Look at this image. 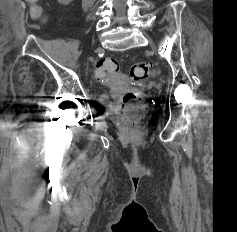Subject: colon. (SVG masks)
<instances>
[{"mask_svg": "<svg viewBox=\"0 0 237 232\" xmlns=\"http://www.w3.org/2000/svg\"><path fill=\"white\" fill-rule=\"evenodd\" d=\"M38 0H27L31 4V14L34 18L41 16V9L37 5ZM150 64L139 61L133 64L130 76L135 81L148 77ZM119 73L118 62L113 58H102L96 64V74L99 77L115 75ZM146 112L143 95L138 92H128L123 98L122 118L126 127L136 129L142 124Z\"/></svg>", "mask_w": 237, "mask_h": 232, "instance_id": "colon-1", "label": "colon"}]
</instances>
